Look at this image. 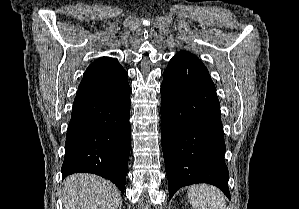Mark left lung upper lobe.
I'll use <instances>...</instances> for the list:
<instances>
[{"label": "left lung upper lobe", "mask_w": 299, "mask_h": 209, "mask_svg": "<svg viewBox=\"0 0 299 209\" xmlns=\"http://www.w3.org/2000/svg\"><path fill=\"white\" fill-rule=\"evenodd\" d=\"M174 58L199 60L197 56L193 55L190 52L183 51V50L180 51L177 55H175Z\"/></svg>", "instance_id": "5c2ea615"}]
</instances>
